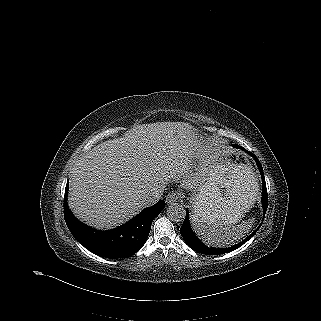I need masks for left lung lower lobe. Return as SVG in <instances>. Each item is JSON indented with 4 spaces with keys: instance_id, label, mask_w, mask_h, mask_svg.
Instances as JSON below:
<instances>
[{
    "instance_id": "1",
    "label": "left lung lower lobe",
    "mask_w": 321,
    "mask_h": 321,
    "mask_svg": "<svg viewBox=\"0 0 321 321\" xmlns=\"http://www.w3.org/2000/svg\"><path fill=\"white\" fill-rule=\"evenodd\" d=\"M234 147L243 149L239 145H234ZM247 153L254 157L255 161L257 162V166L259 168V171L261 173L262 183H263L262 206H263L264 214H265V211L268 206V197H267V189H266L263 168H262L259 160L257 159V157L254 154H252L251 152H248V151H247ZM258 229H259V227L249 237H247L244 241L238 243L237 245H234V246H231L228 248H209V247L205 246L204 244H202V242L193 233L191 226H190V222H189V213H188V210H186V218L181 226L180 233H181L184 241L186 242V244L194 251L205 254V255H218V254L228 253L230 251H233V250L239 248L246 241H248L256 233V231Z\"/></svg>"
}]
</instances>
